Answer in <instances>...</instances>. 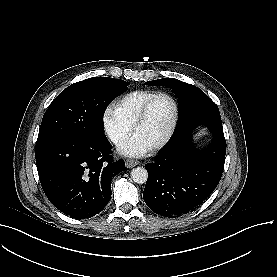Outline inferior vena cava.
<instances>
[{"mask_svg":"<svg viewBox=\"0 0 277 277\" xmlns=\"http://www.w3.org/2000/svg\"><path fill=\"white\" fill-rule=\"evenodd\" d=\"M110 139H111V141L114 143V144H118V143H120L121 142V136H119L118 134H112L111 136H110Z\"/></svg>","mask_w":277,"mask_h":277,"instance_id":"inferior-vena-cava-1","label":"inferior vena cava"}]
</instances>
